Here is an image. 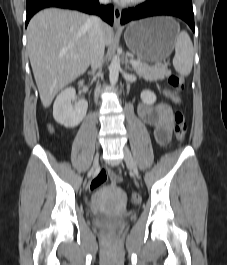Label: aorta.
Returning <instances> with one entry per match:
<instances>
[{"label": "aorta", "mask_w": 227, "mask_h": 265, "mask_svg": "<svg viewBox=\"0 0 227 265\" xmlns=\"http://www.w3.org/2000/svg\"><path fill=\"white\" fill-rule=\"evenodd\" d=\"M120 71V59L117 56L112 58L111 64L109 66V80L111 85H115L118 81Z\"/></svg>", "instance_id": "aorta-1"}]
</instances>
